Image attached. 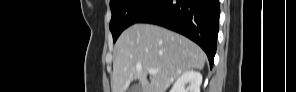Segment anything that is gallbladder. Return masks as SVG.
<instances>
[{"mask_svg": "<svg viewBox=\"0 0 296 92\" xmlns=\"http://www.w3.org/2000/svg\"><path fill=\"white\" fill-rule=\"evenodd\" d=\"M128 92H141V86L140 85H133L132 87H130Z\"/></svg>", "mask_w": 296, "mask_h": 92, "instance_id": "bac80fb5", "label": "gallbladder"}]
</instances>
